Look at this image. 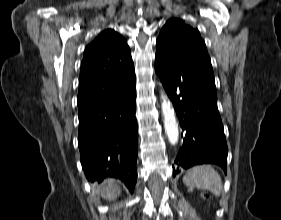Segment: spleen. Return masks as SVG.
Instances as JSON below:
<instances>
[{
    "label": "spleen",
    "instance_id": "1",
    "mask_svg": "<svg viewBox=\"0 0 281 220\" xmlns=\"http://www.w3.org/2000/svg\"><path fill=\"white\" fill-rule=\"evenodd\" d=\"M183 183L188 187L210 190L217 196L223 191L221 177L210 165L192 167L183 176Z\"/></svg>",
    "mask_w": 281,
    "mask_h": 220
}]
</instances>
